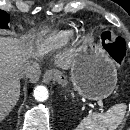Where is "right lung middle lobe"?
I'll list each match as a JSON object with an SVG mask.
<instances>
[{
    "label": "right lung middle lobe",
    "instance_id": "obj_1",
    "mask_svg": "<svg viewBox=\"0 0 130 130\" xmlns=\"http://www.w3.org/2000/svg\"><path fill=\"white\" fill-rule=\"evenodd\" d=\"M9 17L5 11L0 10V29L8 28Z\"/></svg>",
    "mask_w": 130,
    "mask_h": 130
}]
</instances>
